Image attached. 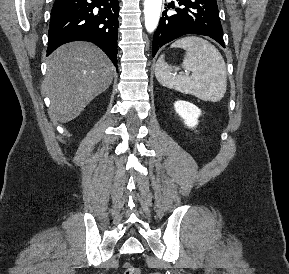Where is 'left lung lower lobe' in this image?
I'll use <instances>...</instances> for the list:
<instances>
[{"mask_svg": "<svg viewBox=\"0 0 289 274\" xmlns=\"http://www.w3.org/2000/svg\"><path fill=\"white\" fill-rule=\"evenodd\" d=\"M167 7L174 12L163 11L153 36V57L163 45L187 34L209 36L225 48L216 0H176Z\"/></svg>", "mask_w": 289, "mask_h": 274, "instance_id": "obj_1", "label": "left lung lower lobe"}]
</instances>
